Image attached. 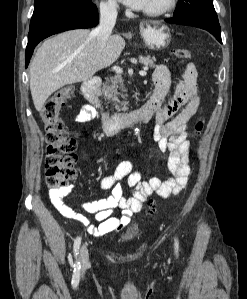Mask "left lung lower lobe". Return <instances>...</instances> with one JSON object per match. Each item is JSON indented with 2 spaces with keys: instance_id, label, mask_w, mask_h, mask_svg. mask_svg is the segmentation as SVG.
<instances>
[{
  "instance_id": "obj_1",
  "label": "left lung lower lobe",
  "mask_w": 247,
  "mask_h": 299,
  "mask_svg": "<svg viewBox=\"0 0 247 299\" xmlns=\"http://www.w3.org/2000/svg\"><path fill=\"white\" fill-rule=\"evenodd\" d=\"M166 22L179 25H188L209 31L222 43L221 29L218 18L211 17L201 12H190L181 16L165 19Z\"/></svg>"
}]
</instances>
